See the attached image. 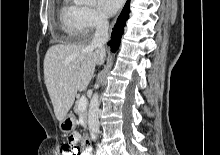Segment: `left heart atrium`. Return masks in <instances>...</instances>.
<instances>
[{
    "mask_svg": "<svg viewBox=\"0 0 220 155\" xmlns=\"http://www.w3.org/2000/svg\"><path fill=\"white\" fill-rule=\"evenodd\" d=\"M124 0H98L99 9L107 15L115 14L122 6Z\"/></svg>",
    "mask_w": 220,
    "mask_h": 155,
    "instance_id": "39dd6f15",
    "label": "left heart atrium"
}]
</instances>
